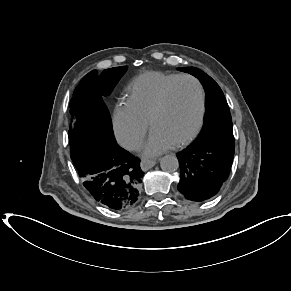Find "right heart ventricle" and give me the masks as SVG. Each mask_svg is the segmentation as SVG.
Here are the masks:
<instances>
[{"label": "right heart ventricle", "instance_id": "obj_1", "mask_svg": "<svg viewBox=\"0 0 291 291\" xmlns=\"http://www.w3.org/2000/svg\"><path fill=\"white\" fill-rule=\"evenodd\" d=\"M178 75L147 72L138 76L128 89L127 104L140 119L148 122L163 89Z\"/></svg>", "mask_w": 291, "mask_h": 291}]
</instances>
